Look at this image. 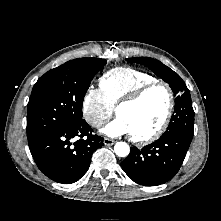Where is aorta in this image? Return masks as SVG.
<instances>
[{
  "label": "aorta",
  "instance_id": "762f6f07",
  "mask_svg": "<svg viewBox=\"0 0 221 221\" xmlns=\"http://www.w3.org/2000/svg\"><path fill=\"white\" fill-rule=\"evenodd\" d=\"M114 151L116 155L120 157H126L130 152V148L129 145L125 142H117L114 146Z\"/></svg>",
  "mask_w": 221,
  "mask_h": 221
}]
</instances>
